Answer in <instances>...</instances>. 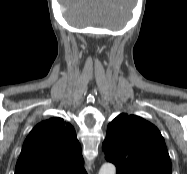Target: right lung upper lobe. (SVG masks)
<instances>
[{"label": "right lung upper lobe", "mask_w": 187, "mask_h": 174, "mask_svg": "<svg viewBox=\"0 0 187 174\" xmlns=\"http://www.w3.org/2000/svg\"><path fill=\"white\" fill-rule=\"evenodd\" d=\"M15 174H86L72 125L61 118L37 124L24 141Z\"/></svg>", "instance_id": "obj_1"}]
</instances>
